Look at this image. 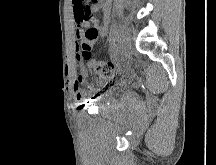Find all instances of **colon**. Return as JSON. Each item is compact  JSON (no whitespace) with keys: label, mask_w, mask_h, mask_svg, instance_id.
<instances>
[{"label":"colon","mask_w":216,"mask_h":165,"mask_svg":"<svg viewBox=\"0 0 216 165\" xmlns=\"http://www.w3.org/2000/svg\"><path fill=\"white\" fill-rule=\"evenodd\" d=\"M77 2H85V0H77ZM91 13H81L82 18H89ZM98 35V30L94 27L85 31V39L79 46L78 58L87 62L88 66L100 75H108L114 70L112 63L97 61L91 57V41Z\"/></svg>","instance_id":"obj_1"}]
</instances>
